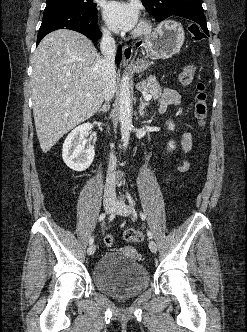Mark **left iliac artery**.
I'll return each mask as SVG.
<instances>
[{"label": "left iliac artery", "mask_w": 247, "mask_h": 332, "mask_svg": "<svg viewBox=\"0 0 247 332\" xmlns=\"http://www.w3.org/2000/svg\"><path fill=\"white\" fill-rule=\"evenodd\" d=\"M127 198H128V201H129L130 205H131V206H134V205H135V202H134L133 198L131 197V195H130L129 193H127ZM140 217H141L142 220H145V218H146L145 215H144V213H142V212H140ZM147 235H148V237H149L150 239L153 238V234H152V232L149 231V230H147Z\"/></svg>", "instance_id": "1"}]
</instances>
